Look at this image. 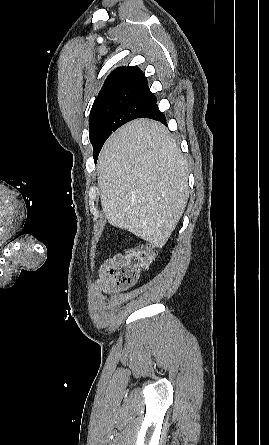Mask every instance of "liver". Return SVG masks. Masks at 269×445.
Wrapping results in <instances>:
<instances>
[{"label":"liver","instance_id":"1","mask_svg":"<svg viewBox=\"0 0 269 445\" xmlns=\"http://www.w3.org/2000/svg\"><path fill=\"white\" fill-rule=\"evenodd\" d=\"M108 222L162 248L189 198L188 163L160 123L136 119L104 144L98 160Z\"/></svg>","mask_w":269,"mask_h":445}]
</instances>
